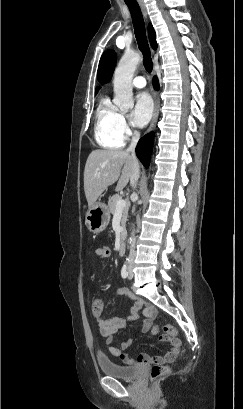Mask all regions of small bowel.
Masks as SVG:
<instances>
[{"label":"small bowel","mask_w":243,"mask_h":409,"mask_svg":"<svg viewBox=\"0 0 243 409\" xmlns=\"http://www.w3.org/2000/svg\"><path fill=\"white\" fill-rule=\"evenodd\" d=\"M96 254L100 260H107L111 256V250L108 247L101 246L96 249ZM120 294L134 299V305L131 309L130 319H137L140 315L144 316L143 328L144 333L150 331L153 321L156 317V309L153 305L145 302L142 299L135 298L134 294L128 288H122L119 291ZM94 315V321L99 328L101 336L105 339V342L109 345L107 350L109 354L114 357L120 358L126 364H144L150 361L155 363H172L177 360V358L182 354L181 351V341L177 338L171 337L169 334L164 335L161 338V343L169 344V349L162 356H156L151 358L148 355H140L138 358H132L126 353L121 351L129 348L133 342L132 338L125 339L121 342V349L111 346L110 343L113 341V335L123 329L126 325L125 321L117 316L104 317L101 312Z\"/></svg>","instance_id":"1"}]
</instances>
